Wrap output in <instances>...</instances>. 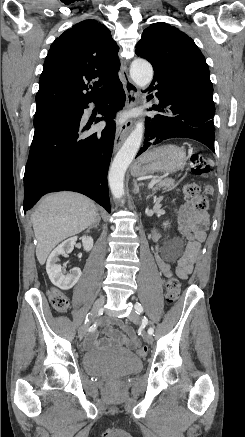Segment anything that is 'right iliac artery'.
Here are the masks:
<instances>
[{"label":"right iliac artery","instance_id":"right-iliac-artery-1","mask_svg":"<svg viewBox=\"0 0 245 437\" xmlns=\"http://www.w3.org/2000/svg\"><path fill=\"white\" fill-rule=\"evenodd\" d=\"M89 320H90V316L87 315L86 320H85V324H86L87 322H89Z\"/></svg>","mask_w":245,"mask_h":437}]
</instances>
